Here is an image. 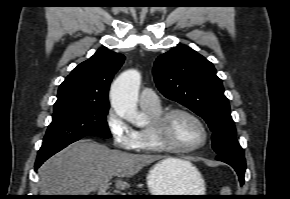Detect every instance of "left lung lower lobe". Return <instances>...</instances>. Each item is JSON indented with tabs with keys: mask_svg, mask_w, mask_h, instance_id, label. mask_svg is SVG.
<instances>
[{
	"mask_svg": "<svg viewBox=\"0 0 290 199\" xmlns=\"http://www.w3.org/2000/svg\"><path fill=\"white\" fill-rule=\"evenodd\" d=\"M217 160L225 162L232 166L235 171L237 172L240 180V184L243 185L244 183V173L246 170V163L244 154H224V155H217Z\"/></svg>",
	"mask_w": 290,
	"mask_h": 199,
	"instance_id": "0a47b994",
	"label": "left lung lower lobe"
}]
</instances>
